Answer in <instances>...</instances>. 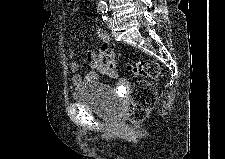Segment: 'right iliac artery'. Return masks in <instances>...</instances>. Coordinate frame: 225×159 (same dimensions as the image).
<instances>
[{"label":"right iliac artery","instance_id":"right-iliac-artery-1","mask_svg":"<svg viewBox=\"0 0 225 159\" xmlns=\"http://www.w3.org/2000/svg\"><path fill=\"white\" fill-rule=\"evenodd\" d=\"M107 7H105V6H98V8H97V12H98V14H104V13H106L107 12Z\"/></svg>","mask_w":225,"mask_h":159}]
</instances>
